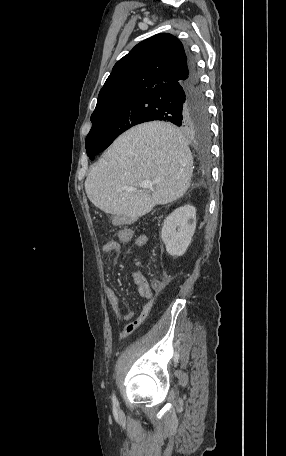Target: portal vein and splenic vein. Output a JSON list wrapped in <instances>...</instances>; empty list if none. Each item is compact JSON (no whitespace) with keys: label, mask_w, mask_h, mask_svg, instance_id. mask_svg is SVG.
Here are the masks:
<instances>
[{"label":"portal vein and splenic vein","mask_w":286,"mask_h":456,"mask_svg":"<svg viewBox=\"0 0 286 456\" xmlns=\"http://www.w3.org/2000/svg\"><path fill=\"white\" fill-rule=\"evenodd\" d=\"M154 185V182L151 181V180H144L142 183H141V187L144 188V189H150L152 188ZM128 190L130 191H135L136 188H128Z\"/></svg>","instance_id":"obj_1"}]
</instances>
